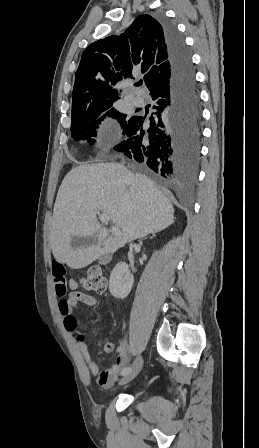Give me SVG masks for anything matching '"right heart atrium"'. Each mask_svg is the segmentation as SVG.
Instances as JSON below:
<instances>
[{"instance_id":"right-heart-atrium-1","label":"right heart atrium","mask_w":259,"mask_h":448,"mask_svg":"<svg viewBox=\"0 0 259 448\" xmlns=\"http://www.w3.org/2000/svg\"><path fill=\"white\" fill-rule=\"evenodd\" d=\"M97 145L106 146L111 143V137L107 133V128L105 125H99L94 131V138Z\"/></svg>"}]
</instances>
